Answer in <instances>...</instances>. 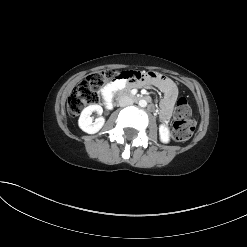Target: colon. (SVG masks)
<instances>
[{"label":"colon","mask_w":247,"mask_h":247,"mask_svg":"<svg viewBox=\"0 0 247 247\" xmlns=\"http://www.w3.org/2000/svg\"><path fill=\"white\" fill-rule=\"evenodd\" d=\"M137 72V71H136ZM124 77V72L118 73L114 70H104L90 74L71 93L68 99V111L72 116H78L82 110L100 101V92L109 82ZM191 109L187 100L179 98L175 111L173 123V138L176 141L188 140L194 132V122L190 119Z\"/></svg>","instance_id":"5ec220e1"}]
</instances>
